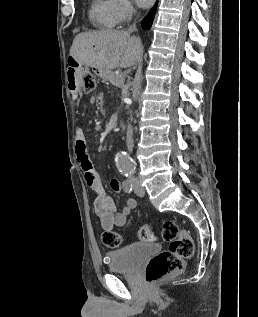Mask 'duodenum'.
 <instances>
[{"label": "duodenum", "instance_id": "1", "mask_svg": "<svg viewBox=\"0 0 258 317\" xmlns=\"http://www.w3.org/2000/svg\"><path fill=\"white\" fill-rule=\"evenodd\" d=\"M66 83L69 92L74 98H77L82 91V74L76 66H69L66 73Z\"/></svg>", "mask_w": 258, "mask_h": 317}]
</instances>
